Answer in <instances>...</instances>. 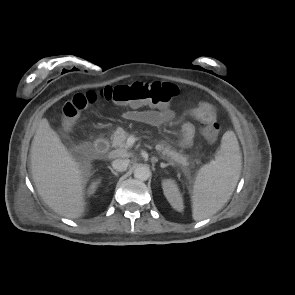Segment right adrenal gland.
<instances>
[{
    "instance_id": "obj_1",
    "label": "right adrenal gland",
    "mask_w": 295,
    "mask_h": 295,
    "mask_svg": "<svg viewBox=\"0 0 295 295\" xmlns=\"http://www.w3.org/2000/svg\"><path fill=\"white\" fill-rule=\"evenodd\" d=\"M107 168H108V169L112 172V174H114L115 176L118 175V172H116L111 166H108Z\"/></svg>"
}]
</instances>
